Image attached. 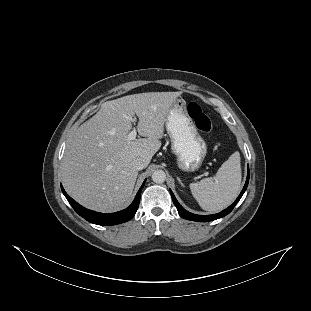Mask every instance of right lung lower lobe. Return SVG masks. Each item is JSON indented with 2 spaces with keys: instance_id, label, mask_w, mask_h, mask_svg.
Segmentation results:
<instances>
[{
  "instance_id": "obj_1",
  "label": "right lung lower lobe",
  "mask_w": 311,
  "mask_h": 311,
  "mask_svg": "<svg viewBox=\"0 0 311 311\" xmlns=\"http://www.w3.org/2000/svg\"><path fill=\"white\" fill-rule=\"evenodd\" d=\"M144 184L145 181L142 184L141 188L139 189L134 201L128 208L110 214H102L82 207L65 192L62 186L61 189L70 205L74 208V210L87 221L98 225H116L130 220L135 215L137 208L139 206L140 195Z\"/></svg>"
}]
</instances>
